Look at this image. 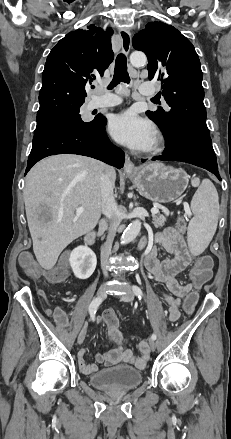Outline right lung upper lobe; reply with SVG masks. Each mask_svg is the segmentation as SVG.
<instances>
[{
  "instance_id": "cb5924a9",
  "label": "right lung upper lobe",
  "mask_w": 231,
  "mask_h": 439,
  "mask_svg": "<svg viewBox=\"0 0 231 439\" xmlns=\"http://www.w3.org/2000/svg\"><path fill=\"white\" fill-rule=\"evenodd\" d=\"M87 28L68 33L49 53L36 119L80 108L86 84L103 76L113 61L112 29L103 31L94 24Z\"/></svg>"
}]
</instances>
